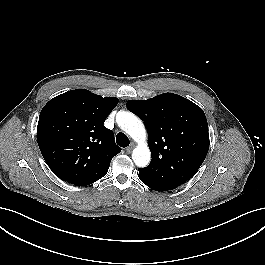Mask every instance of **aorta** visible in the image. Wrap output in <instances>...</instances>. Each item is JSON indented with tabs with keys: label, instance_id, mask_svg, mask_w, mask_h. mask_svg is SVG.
Returning <instances> with one entry per match:
<instances>
[{
	"label": "aorta",
	"instance_id": "762f6f07",
	"mask_svg": "<svg viewBox=\"0 0 265 265\" xmlns=\"http://www.w3.org/2000/svg\"><path fill=\"white\" fill-rule=\"evenodd\" d=\"M117 123L138 146L133 150L132 159L138 167H145L150 162V150L146 144V130L142 121L133 113L122 112L117 117Z\"/></svg>",
	"mask_w": 265,
	"mask_h": 265
}]
</instances>
